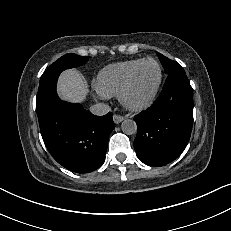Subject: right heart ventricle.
Listing matches in <instances>:
<instances>
[{
	"instance_id": "right-heart-ventricle-1",
	"label": "right heart ventricle",
	"mask_w": 231,
	"mask_h": 231,
	"mask_svg": "<svg viewBox=\"0 0 231 231\" xmlns=\"http://www.w3.org/2000/svg\"><path fill=\"white\" fill-rule=\"evenodd\" d=\"M142 60L143 58L131 59L104 67L95 80L97 91L105 97L119 95L131 70Z\"/></svg>"
}]
</instances>
